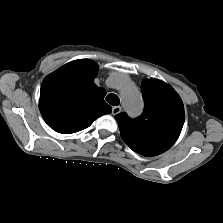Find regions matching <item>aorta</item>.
Masks as SVG:
<instances>
[{"mask_svg": "<svg viewBox=\"0 0 223 223\" xmlns=\"http://www.w3.org/2000/svg\"><path fill=\"white\" fill-rule=\"evenodd\" d=\"M117 84L120 86L121 97L127 112L131 116L142 113L144 103L138 88L123 77H118Z\"/></svg>", "mask_w": 223, "mask_h": 223, "instance_id": "aorta-1", "label": "aorta"}]
</instances>
